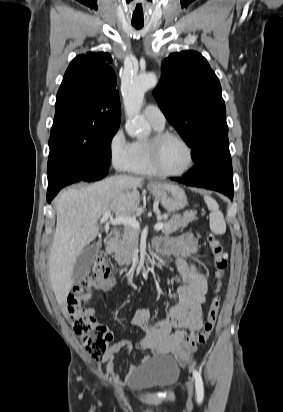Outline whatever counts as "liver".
Returning a JSON list of instances; mask_svg holds the SVG:
<instances>
[{
    "label": "liver",
    "instance_id": "1",
    "mask_svg": "<svg viewBox=\"0 0 283 412\" xmlns=\"http://www.w3.org/2000/svg\"><path fill=\"white\" fill-rule=\"evenodd\" d=\"M143 178L117 175L64 191L56 201L57 224L50 250L49 276L56 300L65 303L73 286L77 258L99 233L98 220L106 211L128 217L140 203L137 187Z\"/></svg>",
    "mask_w": 283,
    "mask_h": 412
}]
</instances>
